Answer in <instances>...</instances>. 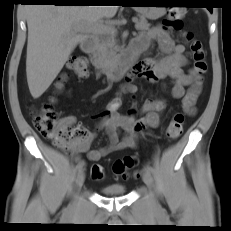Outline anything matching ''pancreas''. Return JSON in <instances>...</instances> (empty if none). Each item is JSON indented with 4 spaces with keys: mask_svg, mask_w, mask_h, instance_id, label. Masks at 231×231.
I'll return each mask as SVG.
<instances>
[{
    "mask_svg": "<svg viewBox=\"0 0 231 231\" xmlns=\"http://www.w3.org/2000/svg\"><path fill=\"white\" fill-rule=\"evenodd\" d=\"M150 24L148 21L141 17L137 20L135 28L138 31L149 30ZM120 51V47L116 43L115 34H108L106 37L101 39V43L97 47L94 53V65H99L100 67L108 68L112 66L116 57L117 52Z\"/></svg>",
    "mask_w": 231,
    "mask_h": 231,
    "instance_id": "cf45deb5",
    "label": "pancreas"
}]
</instances>
